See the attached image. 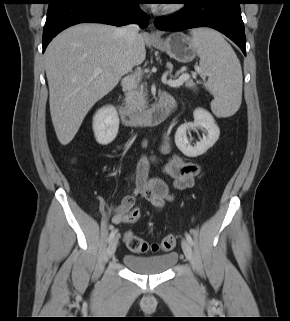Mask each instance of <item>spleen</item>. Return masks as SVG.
<instances>
[{"label": "spleen", "instance_id": "1", "mask_svg": "<svg viewBox=\"0 0 290 321\" xmlns=\"http://www.w3.org/2000/svg\"><path fill=\"white\" fill-rule=\"evenodd\" d=\"M192 42L200 57V70L208 76L207 89L213 94L211 110L218 117L236 113L242 101V70L232 47L216 31L193 29Z\"/></svg>", "mask_w": 290, "mask_h": 321}]
</instances>
